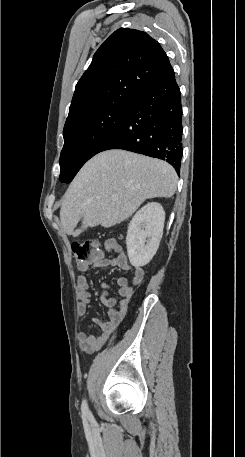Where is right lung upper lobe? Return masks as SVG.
I'll list each match as a JSON object with an SVG mask.
<instances>
[{"label": "right lung upper lobe", "instance_id": "right-lung-upper-lobe-1", "mask_svg": "<svg viewBox=\"0 0 245 457\" xmlns=\"http://www.w3.org/2000/svg\"><path fill=\"white\" fill-rule=\"evenodd\" d=\"M172 75L156 40L143 31L120 28L99 47L77 83L66 121L115 101L133 102L145 88Z\"/></svg>", "mask_w": 245, "mask_h": 457}]
</instances>
